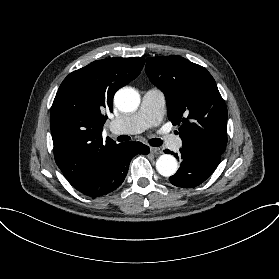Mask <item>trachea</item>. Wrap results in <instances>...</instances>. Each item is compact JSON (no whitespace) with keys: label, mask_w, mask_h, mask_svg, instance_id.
Masks as SVG:
<instances>
[{"label":"trachea","mask_w":279,"mask_h":279,"mask_svg":"<svg viewBox=\"0 0 279 279\" xmlns=\"http://www.w3.org/2000/svg\"><path fill=\"white\" fill-rule=\"evenodd\" d=\"M117 139H118V141L123 142V141H129L130 137L127 135H121ZM150 144L152 146H161L163 144V140L158 139V138H153L150 140Z\"/></svg>","instance_id":"1"}]
</instances>
